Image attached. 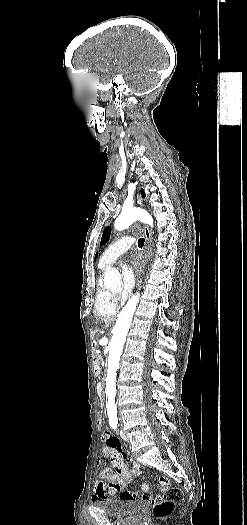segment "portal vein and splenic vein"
<instances>
[{"label":"portal vein and splenic vein","instance_id":"18ae733b","mask_svg":"<svg viewBox=\"0 0 247 525\" xmlns=\"http://www.w3.org/2000/svg\"><path fill=\"white\" fill-rule=\"evenodd\" d=\"M100 364H102V366H105V361H100Z\"/></svg>","mask_w":247,"mask_h":525}]
</instances>
